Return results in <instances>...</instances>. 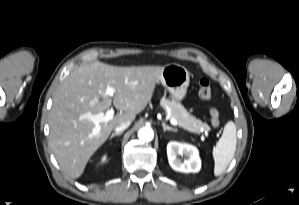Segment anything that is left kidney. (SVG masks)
Returning <instances> with one entry per match:
<instances>
[{
  "instance_id": "1",
  "label": "left kidney",
  "mask_w": 299,
  "mask_h": 205,
  "mask_svg": "<svg viewBox=\"0 0 299 205\" xmlns=\"http://www.w3.org/2000/svg\"><path fill=\"white\" fill-rule=\"evenodd\" d=\"M167 155L169 164L175 171L196 173L201 168L198 149L193 145L171 141L167 145ZM177 155H184L187 159L181 162Z\"/></svg>"
}]
</instances>
